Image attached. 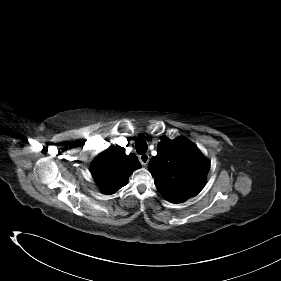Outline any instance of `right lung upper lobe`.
Returning <instances> with one entry per match:
<instances>
[{"mask_svg": "<svg viewBox=\"0 0 281 281\" xmlns=\"http://www.w3.org/2000/svg\"><path fill=\"white\" fill-rule=\"evenodd\" d=\"M141 167L137 157L120 146H110L91 165V173L104 194H114L127 184L130 174Z\"/></svg>", "mask_w": 281, "mask_h": 281, "instance_id": "cb5924a9", "label": "right lung upper lobe"}]
</instances>
